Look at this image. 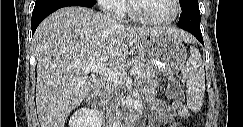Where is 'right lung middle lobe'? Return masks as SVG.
Here are the masks:
<instances>
[{
	"instance_id": "1",
	"label": "right lung middle lobe",
	"mask_w": 243,
	"mask_h": 127,
	"mask_svg": "<svg viewBox=\"0 0 243 127\" xmlns=\"http://www.w3.org/2000/svg\"><path fill=\"white\" fill-rule=\"evenodd\" d=\"M90 1L95 4V0H90Z\"/></svg>"
}]
</instances>
